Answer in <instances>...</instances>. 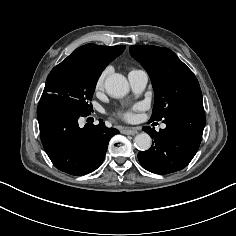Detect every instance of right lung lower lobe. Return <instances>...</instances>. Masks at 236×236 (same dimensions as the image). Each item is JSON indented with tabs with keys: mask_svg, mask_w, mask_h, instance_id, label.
Wrapping results in <instances>:
<instances>
[{
	"mask_svg": "<svg viewBox=\"0 0 236 236\" xmlns=\"http://www.w3.org/2000/svg\"><path fill=\"white\" fill-rule=\"evenodd\" d=\"M81 112L66 97L58 94L42 95L37 117L41 142L54 166L70 175H85L97 169L104 160L108 142L119 132L98 125H78Z\"/></svg>",
	"mask_w": 236,
	"mask_h": 236,
	"instance_id": "obj_1",
	"label": "right lung lower lobe"
}]
</instances>
